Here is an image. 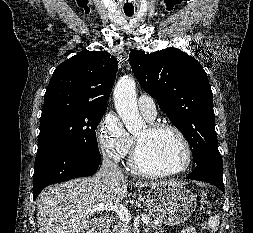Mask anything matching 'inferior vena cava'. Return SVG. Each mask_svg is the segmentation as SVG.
Returning <instances> with one entry per match:
<instances>
[{
    "label": "inferior vena cava",
    "instance_id": "inferior-vena-cava-1",
    "mask_svg": "<svg viewBox=\"0 0 253 233\" xmlns=\"http://www.w3.org/2000/svg\"><path fill=\"white\" fill-rule=\"evenodd\" d=\"M98 177H117V178H122L123 174L118 167L116 163H114L109 157L104 156L103 161H102V166L97 173Z\"/></svg>",
    "mask_w": 253,
    "mask_h": 233
}]
</instances>
